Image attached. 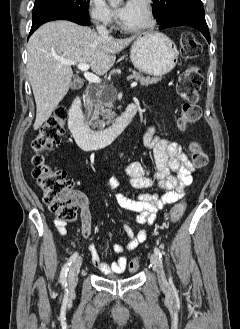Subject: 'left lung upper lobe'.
Returning <instances> with one entry per match:
<instances>
[{
  "label": "left lung upper lobe",
  "instance_id": "left-lung-upper-lobe-1",
  "mask_svg": "<svg viewBox=\"0 0 240 329\" xmlns=\"http://www.w3.org/2000/svg\"><path fill=\"white\" fill-rule=\"evenodd\" d=\"M156 7L153 15L158 24L163 23L170 15L179 12H192L204 14L201 0H153Z\"/></svg>",
  "mask_w": 240,
  "mask_h": 329
}]
</instances>
